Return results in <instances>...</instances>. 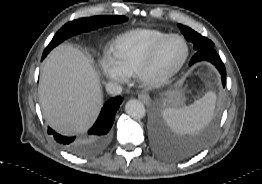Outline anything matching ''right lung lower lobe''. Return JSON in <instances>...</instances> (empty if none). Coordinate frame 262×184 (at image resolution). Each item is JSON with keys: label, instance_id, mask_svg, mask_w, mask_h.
<instances>
[{"label": "right lung lower lobe", "instance_id": "right-lung-lower-lobe-1", "mask_svg": "<svg viewBox=\"0 0 262 184\" xmlns=\"http://www.w3.org/2000/svg\"><path fill=\"white\" fill-rule=\"evenodd\" d=\"M121 102V97H114L104 104L97 121L88 131L86 139L75 140L74 137H65L59 135L50 127H48V133L51 134L58 143L71 152L79 154L98 153L109 143L110 129L113 125L115 114Z\"/></svg>", "mask_w": 262, "mask_h": 184}]
</instances>
